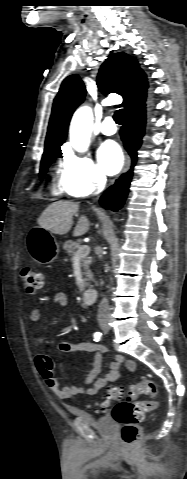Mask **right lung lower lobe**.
<instances>
[{
    "label": "right lung lower lobe",
    "instance_id": "98d812e1",
    "mask_svg": "<svg viewBox=\"0 0 187 479\" xmlns=\"http://www.w3.org/2000/svg\"><path fill=\"white\" fill-rule=\"evenodd\" d=\"M146 123V104L137 109L133 108L125 113V124L120 135L126 150L132 157V166L137 158V150L141 146ZM132 170L123 174L115 184L109 187L100 199V204L113 211L120 209L127 197L132 177Z\"/></svg>",
    "mask_w": 187,
    "mask_h": 479
}]
</instances>
